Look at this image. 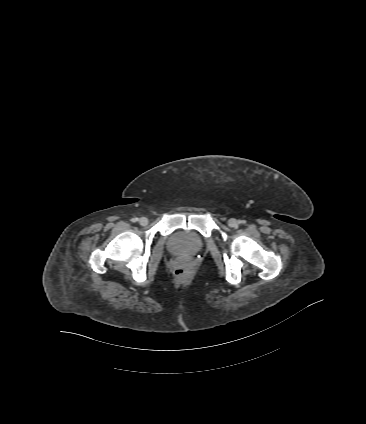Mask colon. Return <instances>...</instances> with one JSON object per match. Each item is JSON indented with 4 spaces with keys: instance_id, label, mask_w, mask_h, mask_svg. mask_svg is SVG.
Segmentation results:
<instances>
[{
    "instance_id": "obj_1",
    "label": "colon",
    "mask_w": 366,
    "mask_h": 424,
    "mask_svg": "<svg viewBox=\"0 0 366 424\" xmlns=\"http://www.w3.org/2000/svg\"><path fill=\"white\" fill-rule=\"evenodd\" d=\"M189 273H190L189 269L186 268V267H183V266H180V267L176 268V270H175V275L178 278H181V279L187 277L189 275Z\"/></svg>"
}]
</instances>
